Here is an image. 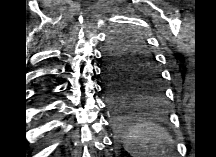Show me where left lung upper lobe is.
Wrapping results in <instances>:
<instances>
[{
	"label": "left lung upper lobe",
	"instance_id": "1",
	"mask_svg": "<svg viewBox=\"0 0 216 157\" xmlns=\"http://www.w3.org/2000/svg\"><path fill=\"white\" fill-rule=\"evenodd\" d=\"M104 56L109 80L126 91H132L135 99L162 94V76L156 59L136 32L125 30L112 33Z\"/></svg>",
	"mask_w": 216,
	"mask_h": 157
}]
</instances>
